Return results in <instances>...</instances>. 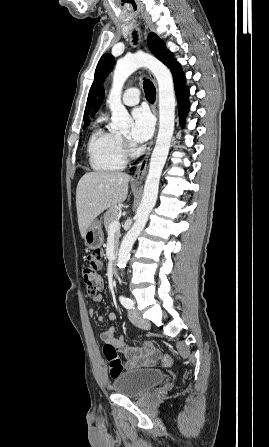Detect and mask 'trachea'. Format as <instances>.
I'll list each match as a JSON object with an SVG mask.
<instances>
[{
	"label": "trachea",
	"mask_w": 269,
	"mask_h": 447,
	"mask_svg": "<svg viewBox=\"0 0 269 447\" xmlns=\"http://www.w3.org/2000/svg\"><path fill=\"white\" fill-rule=\"evenodd\" d=\"M133 37H134V43L137 42V34L136 32L133 33ZM143 88H144V92H145V97L148 100V102L153 103L155 101V97H156V89L153 85V83L148 80L145 79L143 82Z\"/></svg>",
	"instance_id": "obj_1"
}]
</instances>
